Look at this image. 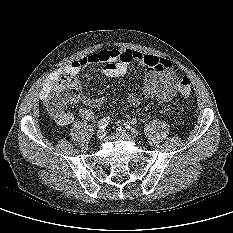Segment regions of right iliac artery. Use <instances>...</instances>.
Returning <instances> with one entry per match:
<instances>
[{
    "label": "right iliac artery",
    "instance_id": "obj_1",
    "mask_svg": "<svg viewBox=\"0 0 233 233\" xmlns=\"http://www.w3.org/2000/svg\"><path fill=\"white\" fill-rule=\"evenodd\" d=\"M109 122H110V117H105V118H103V119H101L99 121L98 127L99 128H105L108 125Z\"/></svg>",
    "mask_w": 233,
    "mask_h": 233
}]
</instances>
